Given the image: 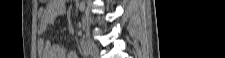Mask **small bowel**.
Instances as JSON below:
<instances>
[{
    "label": "small bowel",
    "mask_w": 225,
    "mask_h": 58,
    "mask_svg": "<svg viewBox=\"0 0 225 58\" xmlns=\"http://www.w3.org/2000/svg\"><path fill=\"white\" fill-rule=\"evenodd\" d=\"M65 11L63 0H51L39 11L38 34L41 36L47 28ZM38 52L41 58H77L75 52L66 53L65 49L50 41L38 40Z\"/></svg>",
    "instance_id": "obj_1"
}]
</instances>
